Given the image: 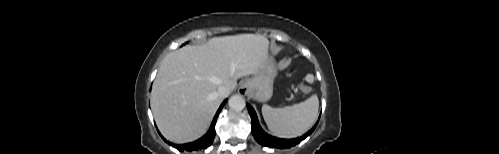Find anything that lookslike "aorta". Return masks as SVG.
Instances as JSON below:
<instances>
[{
  "instance_id": "obj_1",
  "label": "aorta",
  "mask_w": 499,
  "mask_h": 154,
  "mask_svg": "<svg viewBox=\"0 0 499 154\" xmlns=\"http://www.w3.org/2000/svg\"><path fill=\"white\" fill-rule=\"evenodd\" d=\"M229 107L235 111H241L245 108V100L241 95H233L228 101Z\"/></svg>"
}]
</instances>
